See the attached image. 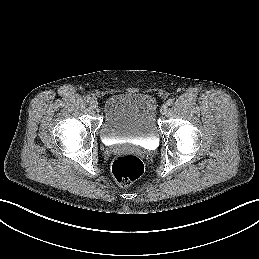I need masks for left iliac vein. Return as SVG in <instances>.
Wrapping results in <instances>:
<instances>
[{
  "mask_svg": "<svg viewBox=\"0 0 259 259\" xmlns=\"http://www.w3.org/2000/svg\"><path fill=\"white\" fill-rule=\"evenodd\" d=\"M160 112H161L162 115H166L167 112H168V107H167V105H163V106L161 107Z\"/></svg>",
  "mask_w": 259,
  "mask_h": 259,
  "instance_id": "4c4485c4",
  "label": "left iliac vein"
}]
</instances>
